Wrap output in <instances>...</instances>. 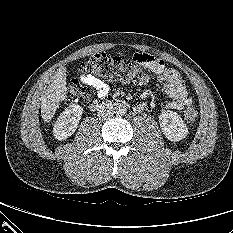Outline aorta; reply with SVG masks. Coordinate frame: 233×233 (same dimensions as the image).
Returning a JSON list of instances; mask_svg holds the SVG:
<instances>
[{
  "mask_svg": "<svg viewBox=\"0 0 233 233\" xmlns=\"http://www.w3.org/2000/svg\"><path fill=\"white\" fill-rule=\"evenodd\" d=\"M127 109L126 106L124 104H119L116 106V114L117 115H124L126 113Z\"/></svg>",
  "mask_w": 233,
  "mask_h": 233,
  "instance_id": "obj_1",
  "label": "aorta"
}]
</instances>
